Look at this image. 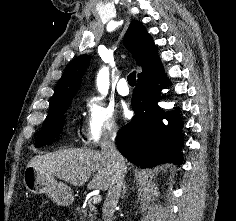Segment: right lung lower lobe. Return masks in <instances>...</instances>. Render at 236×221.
<instances>
[{
    "label": "right lung lower lobe",
    "mask_w": 236,
    "mask_h": 221,
    "mask_svg": "<svg viewBox=\"0 0 236 221\" xmlns=\"http://www.w3.org/2000/svg\"><path fill=\"white\" fill-rule=\"evenodd\" d=\"M168 80L161 64L151 73L138 78L131 105L135 112L132 121L123 126L117 135V147L121 154L142 168L161 162L180 165L181 121L178 112L167 115L158 106L161 90ZM169 124L164 126L162 119Z\"/></svg>",
    "instance_id": "98d812e1"
}]
</instances>
